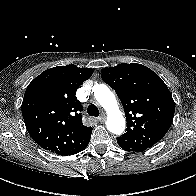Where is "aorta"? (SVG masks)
<instances>
[{"mask_svg": "<svg viewBox=\"0 0 196 196\" xmlns=\"http://www.w3.org/2000/svg\"><path fill=\"white\" fill-rule=\"evenodd\" d=\"M92 91L97 102L107 112V129L116 135L125 130V118L119 110L115 95L105 84L94 85Z\"/></svg>", "mask_w": 196, "mask_h": 196, "instance_id": "obj_1", "label": "aorta"}]
</instances>
